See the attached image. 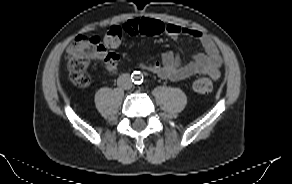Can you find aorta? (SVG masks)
<instances>
[{"instance_id": "762f6f07", "label": "aorta", "mask_w": 292, "mask_h": 184, "mask_svg": "<svg viewBox=\"0 0 292 184\" xmlns=\"http://www.w3.org/2000/svg\"><path fill=\"white\" fill-rule=\"evenodd\" d=\"M133 78H134L135 81H137V80H140V79H141V76L138 75V74H135V75L133 76Z\"/></svg>"}]
</instances>
